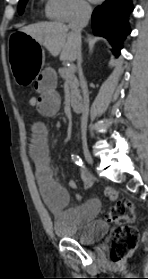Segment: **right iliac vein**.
I'll use <instances>...</instances> for the list:
<instances>
[{"label": "right iliac vein", "mask_w": 148, "mask_h": 279, "mask_svg": "<svg viewBox=\"0 0 148 279\" xmlns=\"http://www.w3.org/2000/svg\"><path fill=\"white\" fill-rule=\"evenodd\" d=\"M83 153H84V157H85L86 161H87L90 165H93V158H92V156H91L89 150H88L86 147L83 148Z\"/></svg>", "instance_id": "63e3f726"}]
</instances>
